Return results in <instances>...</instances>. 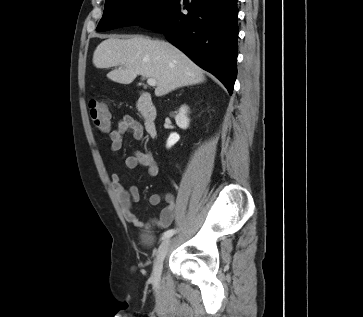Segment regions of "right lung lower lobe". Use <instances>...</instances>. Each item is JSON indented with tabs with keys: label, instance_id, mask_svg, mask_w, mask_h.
<instances>
[{
	"label": "right lung lower lobe",
	"instance_id": "1",
	"mask_svg": "<svg viewBox=\"0 0 363 317\" xmlns=\"http://www.w3.org/2000/svg\"><path fill=\"white\" fill-rule=\"evenodd\" d=\"M237 18V0H192L186 5L176 0L161 16L140 26L164 33L232 94L237 76Z\"/></svg>",
	"mask_w": 363,
	"mask_h": 317
}]
</instances>
